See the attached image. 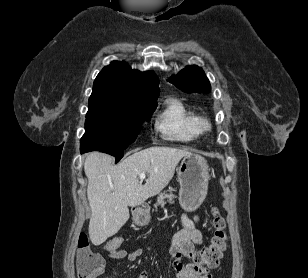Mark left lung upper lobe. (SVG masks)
Instances as JSON below:
<instances>
[{
	"instance_id": "5c2ea615",
	"label": "left lung upper lobe",
	"mask_w": 308,
	"mask_h": 278,
	"mask_svg": "<svg viewBox=\"0 0 308 278\" xmlns=\"http://www.w3.org/2000/svg\"><path fill=\"white\" fill-rule=\"evenodd\" d=\"M184 92L204 93L210 90V83L204 71L197 66H188L169 79Z\"/></svg>"
}]
</instances>
